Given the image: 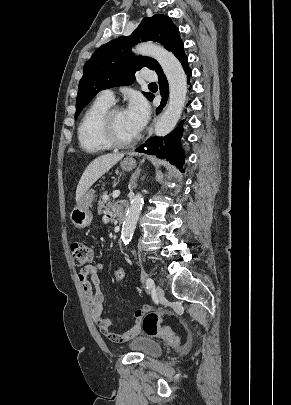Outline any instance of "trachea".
Wrapping results in <instances>:
<instances>
[{"label":"trachea","mask_w":291,"mask_h":405,"mask_svg":"<svg viewBox=\"0 0 291 405\" xmlns=\"http://www.w3.org/2000/svg\"><path fill=\"white\" fill-rule=\"evenodd\" d=\"M149 86H156V83H150Z\"/></svg>","instance_id":"obj_1"}]
</instances>
